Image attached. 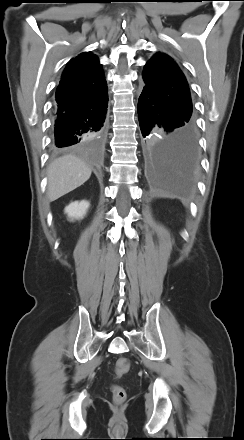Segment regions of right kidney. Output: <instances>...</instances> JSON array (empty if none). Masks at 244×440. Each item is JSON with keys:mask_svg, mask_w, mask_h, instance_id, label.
<instances>
[{"mask_svg": "<svg viewBox=\"0 0 244 440\" xmlns=\"http://www.w3.org/2000/svg\"><path fill=\"white\" fill-rule=\"evenodd\" d=\"M89 207L90 203L86 200L74 201L65 207L64 212L71 221L79 220L83 219Z\"/></svg>", "mask_w": 244, "mask_h": 440, "instance_id": "right-kidney-1", "label": "right kidney"}]
</instances>
